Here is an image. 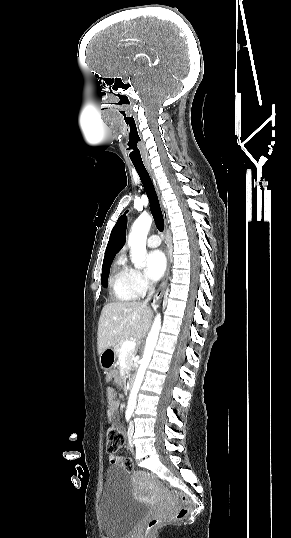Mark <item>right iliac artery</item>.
<instances>
[{
	"instance_id": "obj_1",
	"label": "right iliac artery",
	"mask_w": 291,
	"mask_h": 538,
	"mask_svg": "<svg viewBox=\"0 0 291 538\" xmlns=\"http://www.w3.org/2000/svg\"><path fill=\"white\" fill-rule=\"evenodd\" d=\"M126 421L129 422L130 421V418H131V414L130 413H126Z\"/></svg>"
}]
</instances>
